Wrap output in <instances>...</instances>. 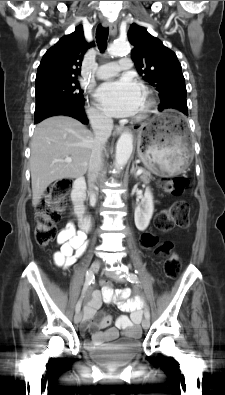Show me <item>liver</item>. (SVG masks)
<instances>
[{"instance_id":"6515ba94","label":"liver","mask_w":225,"mask_h":395,"mask_svg":"<svg viewBox=\"0 0 225 395\" xmlns=\"http://www.w3.org/2000/svg\"><path fill=\"white\" fill-rule=\"evenodd\" d=\"M93 139V133L72 117L53 116L37 125L30 157L34 207L52 182L86 173ZM67 157L72 162H65Z\"/></svg>"}]
</instances>
